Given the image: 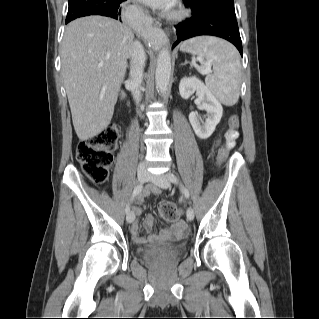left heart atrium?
<instances>
[{
	"label": "left heart atrium",
	"mask_w": 319,
	"mask_h": 319,
	"mask_svg": "<svg viewBox=\"0 0 319 319\" xmlns=\"http://www.w3.org/2000/svg\"><path fill=\"white\" fill-rule=\"evenodd\" d=\"M141 1L147 4L148 6H151L155 9H161V10L169 9L174 3V0H141Z\"/></svg>",
	"instance_id": "1"
}]
</instances>
